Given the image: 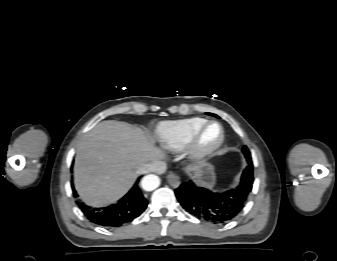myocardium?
<instances>
[{
  "label": "myocardium",
  "instance_id": "1",
  "mask_svg": "<svg viewBox=\"0 0 337 261\" xmlns=\"http://www.w3.org/2000/svg\"><path fill=\"white\" fill-rule=\"evenodd\" d=\"M211 125H216L219 129V137L217 141L210 147H202L200 145V139L204 131ZM225 139V133L222 125L217 121H206L201 125L191 137L187 145V153L190 159L193 161H204L213 156L223 145Z\"/></svg>",
  "mask_w": 337,
  "mask_h": 261
}]
</instances>
